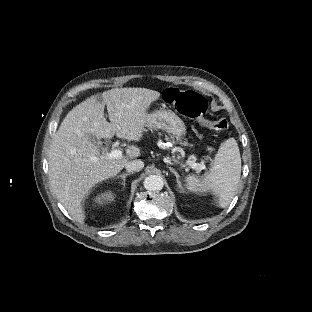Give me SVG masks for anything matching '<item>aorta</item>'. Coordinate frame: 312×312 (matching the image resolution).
I'll use <instances>...</instances> for the list:
<instances>
[{
  "mask_svg": "<svg viewBox=\"0 0 312 312\" xmlns=\"http://www.w3.org/2000/svg\"><path fill=\"white\" fill-rule=\"evenodd\" d=\"M164 186V181L161 176L150 175L144 180V187L146 190L158 191L161 190Z\"/></svg>",
  "mask_w": 312,
  "mask_h": 312,
  "instance_id": "1",
  "label": "aorta"
}]
</instances>
